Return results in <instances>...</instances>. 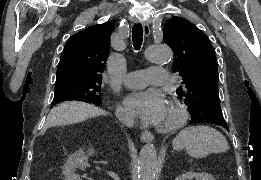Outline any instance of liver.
Masks as SVG:
<instances>
[{
  "label": "liver",
  "mask_w": 261,
  "mask_h": 180,
  "mask_svg": "<svg viewBox=\"0 0 261 180\" xmlns=\"http://www.w3.org/2000/svg\"><path fill=\"white\" fill-rule=\"evenodd\" d=\"M79 104V106H78ZM79 108L83 114L78 116V118H73V110ZM56 116H63V118H68L66 124H73V122H83L86 118H94L97 114H104L103 110H98L95 106H90V104H83V102H65V104H59L57 108H53Z\"/></svg>",
  "instance_id": "obj_1"
}]
</instances>
